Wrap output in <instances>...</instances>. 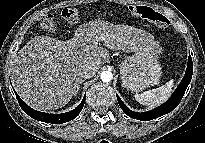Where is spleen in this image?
Instances as JSON below:
<instances>
[{
    "label": "spleen",
    "mask_w": 205,
    "mask_h": 143,
    "mask_svg": "<svg viewBox=\"0 0 205 143\" xmlns=\"http://www.w3.org/2000/svg\"><path fill=\"white\" fill-rule=\"evenodd\" d=\"M174 87V80L166 82L164 85L145 91L141 94H136L135 99L140 104L148 107H156L164 103L171 96L172 90Z\"/></svg>",
    "instance_id": "spleen-1"
}]
</instances>
